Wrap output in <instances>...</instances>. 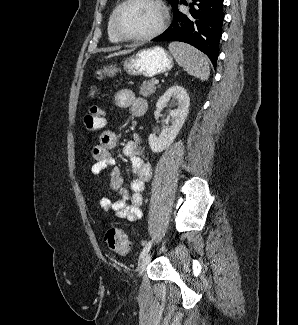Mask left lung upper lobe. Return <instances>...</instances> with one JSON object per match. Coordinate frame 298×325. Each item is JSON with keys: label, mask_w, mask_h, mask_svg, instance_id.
<instances>
[{"label": "left lung upper lobe", "mask_w": 298, "mask_h": 325, "mask_svg": "<svg viewBox=\"0 0 298 325\" xmlns=\"http://www.w3.org/2000/svg\"><path fill=\"white\" fill-rule=\"evenodd\" d=\"M171 4H173L176 0H168Z\"/></svg>", "instance_id": "obj_1"}]
</instances>
